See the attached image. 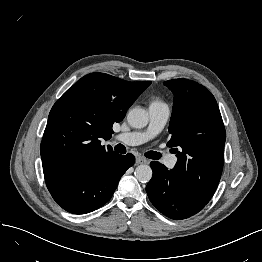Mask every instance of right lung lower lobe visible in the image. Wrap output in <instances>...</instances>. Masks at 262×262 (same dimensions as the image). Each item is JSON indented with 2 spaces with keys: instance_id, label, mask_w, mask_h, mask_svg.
Wrapping results in <instances>:
<instances>
[{
  "instance_id": "right-lung-lower-lobe-1",
  "label": "right lung lower lobe",
  "mask_w": 262,
  "mask_h": 262,
  "mask_svg": "<svg viewBox=\"0 0 262 262\" xmlns=\"http://www.w3.org/2000/svg\"><path fill=\"white\" fill-rule=\"evenodd\" d=\"M135 162L132 154H110L102 160L60 169H45L53 199L74 214L92 212L107 203L126 170Z\"/></svg>"
}]
</instances>
